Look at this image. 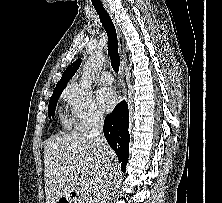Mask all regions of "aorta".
<instances>
[{"label": "aorta", "instance_id": "obj_1", "mask_svg": "<svg viewBox=\"0 0 222 203\" xmlns=\"http://www.w3.org/2000/svg\"><path fill=\"white\" fill-rule=\"evenodd\" d=\"M105 61L106 57L101 53L93 54L88 58L81 77V87L83 89L88 90L91 88L95 77L100 72Z\"/></svg>", "mask_w": 222, "mask_h": 203}]
</instances>
